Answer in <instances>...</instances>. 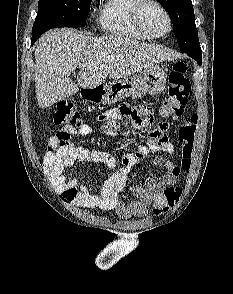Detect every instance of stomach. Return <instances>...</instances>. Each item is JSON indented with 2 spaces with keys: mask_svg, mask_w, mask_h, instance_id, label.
Here are the masks:
<instances>
[{
  "mask_svg": "<svg viewBox=\"0 0 233 294\" xmlns=\"http://www.w3.org/2000/svg\"><path fill=\"white\" fill-rule=\"evenodd\" d=\"M166 80L167 75L164 69L153 65L140 74L103 83L94 89H84L82 96L96 103L112 104L127 97L157 95L164 90Z\"/></svg>",
  "mask_w": 233,
  "mask_h": 294,
  "instance_id": "obj_1",
  "label": "stomach"
}]
</instances>
